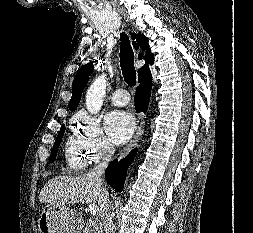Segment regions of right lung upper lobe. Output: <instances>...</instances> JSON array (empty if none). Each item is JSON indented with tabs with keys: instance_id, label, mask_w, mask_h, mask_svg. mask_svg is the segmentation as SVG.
<instances>
[{
	"instance_id": "cb5924a9",
	"label": "right lung upper lobe",
	"mask_w": 253,
	"mask_h": 233,
	"mask_svg": "<svg viewBox=\"0 0 253 233\" xmlns=\"http://www.w3.org/2000/svg\"><path fill=\"white\" fill-rule=\"evenodd\" d=\"M136 38V42L133 41V46L137 50L138 47L146 50V55L143 57L145 59L146 64L138 70V78L142 76L146 71H149L148 64L154 63V55L151 53L149 49L148 39L141 33L137 35L133 34L132 39ZM139 59H142V54L138 55ZM93 72V65L92 63H88L85 66H82L80 70L77 72L73 84H72V98L69 102V109L74 111L81 99V94L85 84L87 83L89 76Z\"/></svg>"
}]
</instances>
